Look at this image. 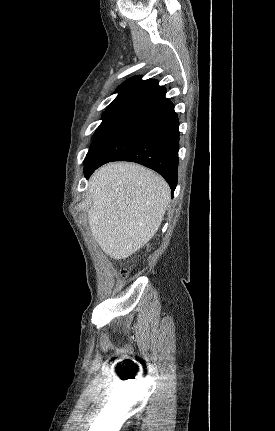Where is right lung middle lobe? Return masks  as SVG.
<instances>
[{"instance_id": "1", "label": "right lung middle lobe", "mask_w": 275, "mask_h": 431, "mask_svg": "<svg viewBox=\"0 0 275 431\" xmlns=\"http://www.w3.org/2000/svg\"><path fill=\"white\" fill-rule=\"evenodd\" d=\"M135 112L131 111H118L111 113H103L102 123L97 128L94 140L90 149L85 157L84 167L96 157V155L103 149V147L110 141V139L127 123V121L134 115Z\"/></svg>"}]
</instances>
